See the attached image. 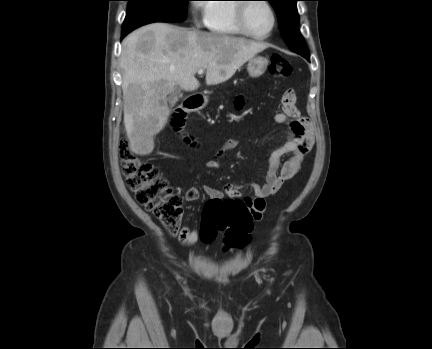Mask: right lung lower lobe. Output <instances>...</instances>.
Segmentation results:
<instances>
[{
    "instance_id": "1",
    "label": "right lung lower lobe",
    "mask_w": 432,
    "mask_h": 349,
    "mask_svg": "<svg viewBox=\"0 0 432 349\" xmlns=\"http://www.w3.org/2000/svg\"><path fill=\"white\" fill-rule=\"evenodd\" d=\"M128 33H122V39L127 35Z\"/></svg>"
}]
</instances>
